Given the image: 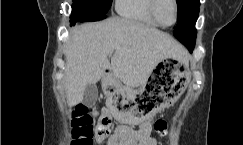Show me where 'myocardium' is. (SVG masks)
Segmentation results:
<instances>
[{
  "mask_svg": "<svg viewBox=\"0 0 243 145\" xmlns=\"http://www.w3.org/2000/svg\"><path fill=\"white\" fill-rule=\"evenodd\" d=\"M159 2H160V0H151L150 11H151L153 18L156 20V22L160 26H163V27H171V26L175 25L178 20V13H179L177 0H172V3L174 5V11H175V16H174V20H173L172 24H165L161 21L159 15H158Z\"/></svg>",
  "mask_w": 243,
  "mask_h": 145,
  "instance_id": "f54148a6",
  "label": "myocardium"
}]
</instances>
